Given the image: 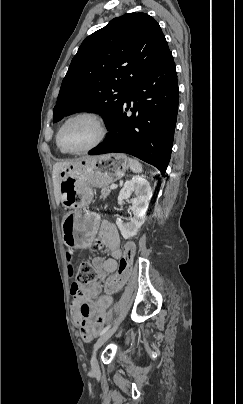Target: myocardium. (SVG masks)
<instances>
[{
	"instance_id": "obj_1",
	"label": "myocardium",
	"mask_w": 243,
	"mask_h": 404,
	"mask_svg": "<svg viewBox=\"0 0 243 404\" xmlns=\"http://www.w3.org/2000/svg\"><path fill=\"white\" fill-rule=\"evenodd\" d=\"M80 116H88V117H91V118H93V119H95L97 121V123L99 125V129H100L99 137L93 144H91L90 146H88L86 148H83V149H67V148H64L62 146V144H61V141H60L61 132H62L64 126L70 120H72L73 118H76V117H80ZM106 136H107V126H106V123H105L104 119L102 118V116H100L97 112H94V111L82 110V111H78V112H75V113L69 115L68 117H66L63 120V122L58 127L57 134H56V139H57L58 145L61 148H64L65 151H67L68 153H88V152L98 148L104 142Z\"/></svg>"
}]
</instances>
